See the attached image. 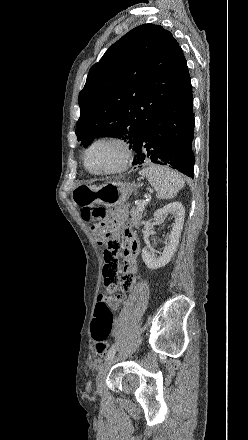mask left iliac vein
Here are the masks:
<instances>
[{
  "label": "left iliac vein",
  "instance_id": "4c4485c4",
  "mask_svg": "<svg viewBox=\"0 0 248 440\" xmlns=\"http://www.w3.org/2000/svg\"><path fill=\"white\" fill-rule=\"evenodd\" d=\"M141 344V339L139 338L131 347V349L129 350L128 353L134 352L139 345ZM128 353H124L123 355L120 356H113L109 359H107L99 368L97 377H96V389L97 392H101L103 389V385H104V381L105 378L110 370V367L112 366L113 363H115L116 361H119L122 358L127 357Z\"/></svg>",
  "mask_w": 248,
  "mask_h": 440
}]
</instances>
